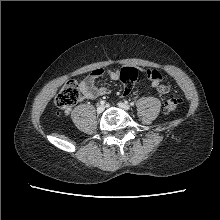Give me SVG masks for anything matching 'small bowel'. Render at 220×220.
I'll return each instance as SVG.
<instances>
[{
  "label": "small bowel",
  "instance_id": "obj_1",
  "mask_svg": "<svg viewBox=\"0 0 220 220\" xmlns=\"http://www.w3.org/2000/svg\"><path fill=\"white\" fill-rule=\"evenodd\" d=\"M103 75H107L112 80H118L120 78V70H105L102 68H98L93 70L88 76H86L81 82H80V89L83 94V97L86 99H94L98 96L105 95L108 93V89L105 87H97L95 85V82L98 78H100ZM160 80H152L151 85L154 88H157L160 84ZM124 94L123 95H128Z\"/></svg>",
  "mask_w": 220,
  "mask_h": 220
}]
</instances>
